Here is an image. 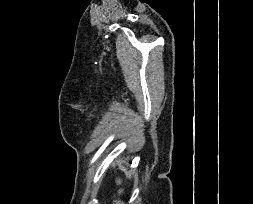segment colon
<instances>
[{"mask_svg": "<svg viewBox=\"0 0 253 204\" xmlns=\"http://www.w3.org/2000/svg\"><path fill=\"white\" fill-rule=\"evenodd\" d=\"M112 204H123L119 198H115Z\"/></svg>", "mask_w": 253, "mask_h": 204, "instance_id": "1", "label": "colon"}]
</instances>
